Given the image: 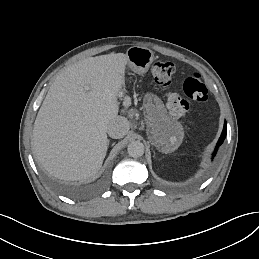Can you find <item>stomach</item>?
<instances>
[{"mask_svg":"<svg viewBox=\"0 0 259 259\" xmlns=\"http://www.w3.org/2000/svg\"><path fill=\"white\" fill-rule=\"evenodd\" d=\"M126 54L130 67L137 73L147 71L154 59L152 50L147 47L133 46L127 50Z\"/></svg>","mask_w":259,"mask_h":259,"instance_id":"obj_1","label":"stomach"}]
</instances>
